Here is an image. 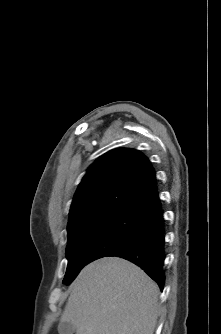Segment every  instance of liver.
Returning a JSON list of instances; mask_svg holds the SVG:
<instances>
[{
    "instance_id": "liver-1",
    "label": "liver",
    "mask_w": 221,
    "mask_h": 334,
    "mask_svg": "<svg viewBox=\"0 0 221 334\" xmlns=\"http://www.w3.org/2000/svg\"><path fill=\"white\" fill-rule=\"evenodd\" d=\"M159 289L135 264L104 257L85 266L70 287L61 322L76 334H153Z\"/></svg>"
}]
</instances>
